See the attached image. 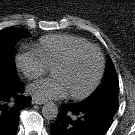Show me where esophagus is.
<instances>
[{
    "label": "esophagus",
    "instance_id": "34e87169",
    "mask_svg": "<svg viewBox=\"0 0 135 135\" xmlns=\"http://www.w3.org/2000/svg\"><path fill=\"white\" fill-rule=\"evenodd\" d=\"M44 103H45V101H41V100H39V99H37L35 97L32 98V104H39V105H41V104H44Z\"/></svg>",
    "mask_w": 135,
    "mask_h": 135
}]
</instances>
